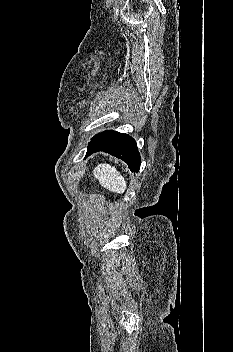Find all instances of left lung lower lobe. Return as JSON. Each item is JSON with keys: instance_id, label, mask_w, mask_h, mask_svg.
Here are the masks:
<instances>
[{"instance_id": "1", "label": "left lung lower lobe", "mask_w": 233, "mask_h": 352, "mask_svg": "<svg viewBox=\"0 0 233 352\" xmlns=\"http://www.w3.org/2000/svg\"><path fill=\"white\" fill-rule=\"evenodd\" d=\"M109 153L127 163L131 172H138L141 165L140 154L135 140L129 135L107 130L93 138L88 145L86 157L95 152Z\"/></svg>"}]
</instances>
